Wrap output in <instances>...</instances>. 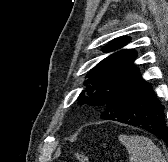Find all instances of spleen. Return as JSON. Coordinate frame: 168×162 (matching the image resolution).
Returning <instances> with one entry per match:
<instances>
[{
	"mask_svg": "<svg viewBox=\"0 0 168 162\" xmlns=\"http://www.w3.org/2000/svg\"><path fill=\"white\" fill-rule=\"evenodd\" d=\"M130 162H166L161 150L147 137L120 135Z\"/></svg>",
	"mask_w": 168,
	"mask_h": 162,
	"instance_id": "3e777b00",
	"label": "spleen"
}]
</instances>
